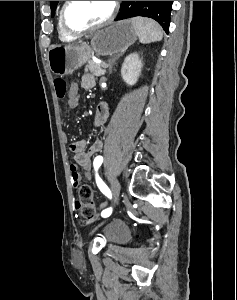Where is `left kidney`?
Segmentation results:
<instances>
[{"mask_svg": "<svg viewBox=\"0 0 237 300\" xmlns=\"http://www.w3.org/2000/svg\"><path fill=\"white\" fill-rule=\"evenodd\" d=\"M142 67L143 65L138 53H131V55H128V57L124 59L121 69L123 81H125L127 85H135L139 79Z\"/></svg>", "mask_w": 237, "mask_h": 300, "instance_id": "left-kidney-1", "label": "left kidney"}]
</instances>
